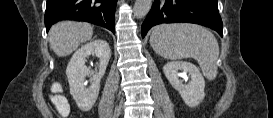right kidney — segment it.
I'll use <instances>...</instances> for the list:
<instances>
[{"label": "right kidney", "instance_id": "right-kidney-1", "mask_svg": "<svg viewBox=\"0 0 273 118\" xmlns=\"http://www.w3.org/2000/svg\"><path fill=\"white\" fill-rule=\"evenodd\" d=\"M90 55L99 58V71L96 74H93L85 65L86 58ZM110 57L109 44L104 40H95L81 46L68 63L66 75L70 93L81 110L88 111L95 104L99 95L100 81ZM86 76L90 77L89 87H86Z\"/></svg>", "mask_w": 273, "mask_h": 118}]
</instances>
